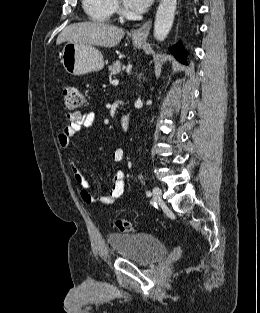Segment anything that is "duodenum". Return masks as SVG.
<instances>
[{"instance_id": "410a0bca", "label": "duodenum", "mask_w": 260, "mask_h": 313, "mask_svg": "<svg viewBox=\"0 0 260 313\" xmlns=\"http://www.w3.org/2000/svg\"><path fill=\"white\" fill-rule=\"evenodd\" d=\"M121 126L123 132L127 133L130 130V117L128 113H125L121 118Z\"/></svg>"}]
</instances>
